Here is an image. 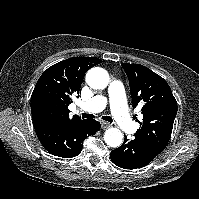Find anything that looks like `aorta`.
Wrapping results in <instances>:
<instances>
[{
    "label": "aorta",
    "mask_w": 199,
    "mask_h": 199,
    "mask_svg": "<svg viewBox=\"0 0 199 199\" xmlns=\"http://www.w3.org/2000/svg\"><path fill=\"white\" fill-rule=\"evenodd\" d=\"M86 82L93 89H105L109 84V74L103 68L94 67L87 72ZM122 140L123 134L117 128H109L104 134V141L110 147H119Z\"/></svg>",
    "instance_id": "aorta-1"
}]
</instances>
